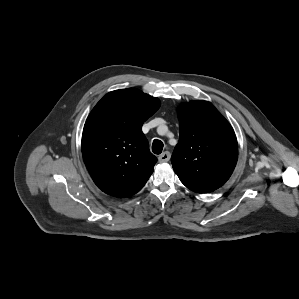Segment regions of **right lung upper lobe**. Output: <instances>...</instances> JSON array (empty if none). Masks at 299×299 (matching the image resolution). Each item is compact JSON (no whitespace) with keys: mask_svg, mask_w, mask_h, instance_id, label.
<instances>
[{"mask_svg":"<svg viewBox=\"0 0 299 299\" xmlns=\"http://www.w3.org/2000/svg\"><path fill=\"white\" fill-rule=\"evenodd\" d=\"M159 107L158 98L128 88L109 92L89 114L82 155L93 181L106 194L132 196L151 176L157 158L149 151L142 125Z\"/></svg>","mask_w":299,"mask_h":299,"instance_id":"1","label":"right lung upper lobe"}]
</instances>
